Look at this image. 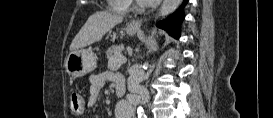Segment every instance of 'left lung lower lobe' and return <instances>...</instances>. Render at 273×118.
<instances>
[{"label": "left lung lower lobe", "instance_id": "left-lung-lower-lobe-1", "mask_svg": "<svg viewBox=\"0 0 273 118\" xmlns=\"http://www.w3.org/2000/svg\"><path fill=\"white\" fill-rule=\"evenodd\" d=\"M188 0H184L183 4L170 15L167 19L160 21L157 26L167 31L172 37L179 39L181 23L185 17L184 7Z\"/></svg>", "mask_w": 273, "mask_h": 118}]
</instances>
